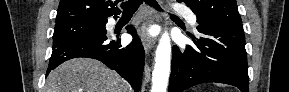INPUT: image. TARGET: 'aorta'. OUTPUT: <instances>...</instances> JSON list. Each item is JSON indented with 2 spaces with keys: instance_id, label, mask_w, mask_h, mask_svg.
<instances>
[{
  "instance_id": "1",
  "label": "aorta",
  "mask_w": 289,
  "mask_h": 92,
  "mask_svg": "<svg viewBox=\"0 0 289 92\" xmlns=\"http://www.w3.org/2000/svg\"><path fill=\"white\" fill-rule=\"evenodd\" d=\"M171 40L165 32L156 49L151 92H166L170 73Z\"/></svg>"
}]
</instances>
